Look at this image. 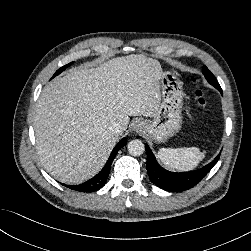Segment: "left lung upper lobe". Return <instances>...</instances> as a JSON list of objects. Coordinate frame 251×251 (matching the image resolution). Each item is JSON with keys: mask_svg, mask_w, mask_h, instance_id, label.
Returning a JSON list of instances; mask_svg holds the SVG:
<instances>
[{"mask_svg": "<svg viewBox=\"0 0 251 251\" xmlns=\"http://www.w3.org/2000/svg\"><path fill=\"white\" fill-rule=\"evenodd\" d=\"M203 74L205 76V78L207 79V81L215 86V85H219V83L217 82L216 78L214 77V75L209 71V69L206 66H203ZM220 86V85H219Z\"/></svg>", "mask_w": 251, "mask_h": 251, "instance_id": "5c2ea615", "label": "left lung upper lobe"}]
</instances>
